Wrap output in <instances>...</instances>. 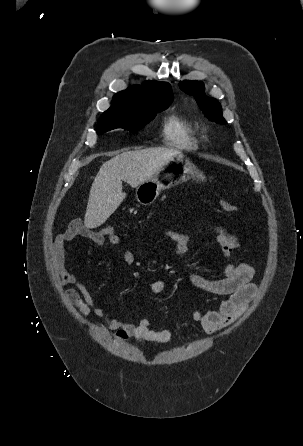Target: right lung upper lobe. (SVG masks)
I'll return each instance as SVG.
<instances>
[{
  "label": "right lung upper lobe",
  "instance_id": "right-lung-upper-lobe-1",
  "mask_svg": "<svg viewBox=\"0 0 303 446\" xmlns=\"http://www.w3.org/2000/svg\"><path fill=\"white\" fill-rule=\"evenodd\" d=\"M172 100L173 93L168 83L151 81L114 95L108 111L144 113L160 105H169Z\"/></svg>",
  "mask_w": 303,
  "mask_h": 446
}]
</instances>
